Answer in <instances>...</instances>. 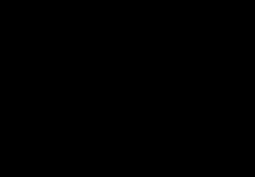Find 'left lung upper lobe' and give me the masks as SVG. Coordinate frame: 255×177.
I'll return each instance as SVG.
<instances>
[{"mask_svg": "<svg viewBox=\"0 0 255 177\" xmlns=\"http://www.w3.org/2000/svg\"><path fill=\"white\" fill-rule=\"evenodd\" d=\"M146 43L157 52L158 64L155 76L163 87L166 88V91L162 93L160 101L176 106L182 105L186 100L181 96L178 85V71H180V69L171 72L167 70L166 55L172 49L175 51L177 50L178 45L176 41L172 37L162 33L153 32L146 36ZM190 66L191 64L184 62L182 64V69L186 70Z\"/></svg>", "mask_w": 255, "mask_h": 177, "instance_id": "1", "label": "left lung upper lobe"}]
</instances>
